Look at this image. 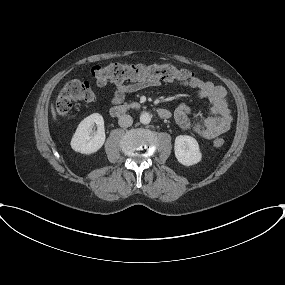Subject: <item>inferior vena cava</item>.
<instances>
[{
  "label": "inferior vena cava",
  "mask_w": 285,
  "mask_h": 285,
  "mask_svg": "<svg viewBox=\"0 0 285 285\" xmlns=\"http://www.w3.org/2000/svg\"><path fill=\"white\" fill-rule=\"evenodd\" d=\"M133 123V119L128 114H123L119 117L118 124L122 128L130 127Z\"/></svg>",
  "instance_id": "1"
}]
</instances>
